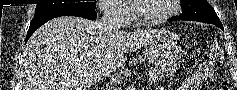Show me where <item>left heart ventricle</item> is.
Listing matches in <instances>:
<instances>
[{"mask_svg":"<svg viewBox=\"0 0 237 90\" xmlns=\"http://www.w3.org/2000/svg\"><path fill=\"white\" fill-rule=\"evenodd\" d=\"M167 2L168 0L136 1V8L142 17H157L167 10Z\"/></svg>","mask_w":237,"mask_h":90,"instance_id":"left-heart-ventricle-1","label":"left heart ventricle"}]
</instances>
